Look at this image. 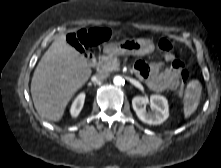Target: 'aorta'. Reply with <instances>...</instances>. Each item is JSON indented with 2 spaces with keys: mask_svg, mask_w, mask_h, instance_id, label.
Masks as SVG:
<instances>
[{
  "mask_svg": "<svg viewBox=\"0 0 221 168\" xmlns=\"http://www.w3.org/2000/svg\"><path fill=\"white\" fill-rule=\"evenodd\" d=\"M113 82L116 86H121L123 84V78L121 76H115Z\"/></svg>",
  "mask_w": 221,
  "mask_h": 168,
  "instance_id": "1",
  "label": "aorta"
}]
</instances>
